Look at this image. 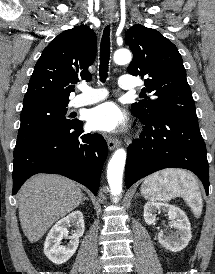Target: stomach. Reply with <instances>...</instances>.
I'll return each instance as SVG.
<instances>
[{
  "label": "stomach",
  "instance_id": "1",
  "mask_svg": "<svg viewBox=\"0 0 215 274\" xmlns=\"http://www.w3.org/2000/svg\"><path fill=\"white\" fill-rule=\"evenodd\" d=\"M141 193L144 195L145 198H147V197H146V194L144 193V191H143L142 188H141Z\"/></svg>",
  "mask_w": 215,
  "mask_h": 274
}]
</instances>
